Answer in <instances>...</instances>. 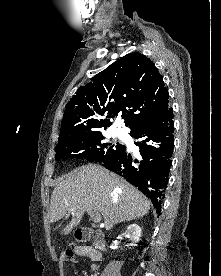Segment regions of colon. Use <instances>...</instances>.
<instances>
[{
	"mask_svg": "<svg viewBox=\"0 0 221 276\" xmlns=\"http://www.w3.org/2000/svg\"><path fill=\"white\" fill-rule=\"evenodd\" d=\"M74 258V252L72 250H66L60 255V259L64 262H71Z\"/></svg>",
	"mask_w": 221,
	"mask_h": 276,
	"instance_id": "colon-1",
	"label": "colon"
}]
</instances>
